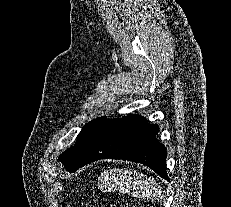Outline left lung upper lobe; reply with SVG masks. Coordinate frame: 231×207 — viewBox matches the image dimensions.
I'll return each instance as SVG.
<instances>
[{
    "label": "left lung upper lobe",
    "instance_id": "left-lung-upper-lobe-1",
    "mask_svg": "<svg viewBox=\"0 0 231 207\" xmlns=\"http://www.w3.org/2000/svg\"><path fill=\"white\" fill-rule=\"evenodd\" d=\"M105 121L106 117H101L87 123L78 134L75 145L59 156L67 170L70 171L81 161Z\"/></svg>",
    "mask_w": 231,
    "mask_h": 207
}]
</instances>
